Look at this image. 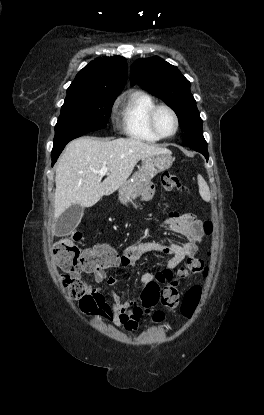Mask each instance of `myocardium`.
<instances>
[{
  "mask_svg": "<svg viewBox=\"0 0 264 415\" xmlns=\"http://www.w3.org/2000/svg\"><path fill=\"white\" fill-rule=\"evenodd\" d=\"M161 109L168 110L172 114V116L174 118V121H175V129L169 135H162L159 132V130L157 128V125H156V115H157V112ZM148 125H149L150 130L152 131V133L156 137H158L159 139H169V138H172L173 136H175L176 133L178 132L180 121H179L178 114L176 113V111L171 106L166 105V104H157L150 110V112L148 114Z\"/></svg>",
  "mask_w": 264,
  "mask_h": 415,
  "instance_id": "1",
  "label": "myocardium"
}]
</instances>
